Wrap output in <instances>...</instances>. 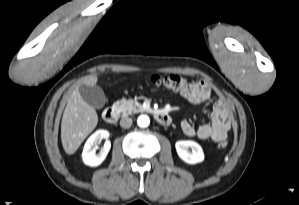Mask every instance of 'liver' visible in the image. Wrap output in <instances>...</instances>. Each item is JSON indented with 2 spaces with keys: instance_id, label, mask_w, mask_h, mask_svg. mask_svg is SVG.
I'll use <instances>...</instances> for the list:
<instances>
[{
  "instance_id": "6515ba94",
  "label": "liver",
  "mask_w": 299,
  "mask_h": 205,
  "mask_svg": "<svg viewBox=\"0 0 299 205\" xmlns=\"http://www.w3.org/2000/svg\"><path fill=\"white\" fill-rule=\"evenodd\" d=\"M97 81V75H88L84 77L83 84L94 86ZM97 123L95 109L84 101L77 86L67 101L61 122V141L65 152L75 153Z\"/></svg>"
}]
</instances>
